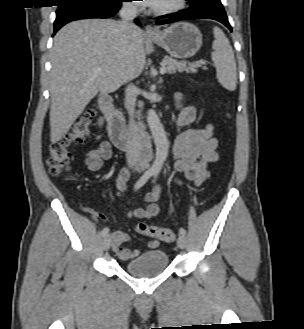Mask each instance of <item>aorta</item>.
I'll return each mask as SVG.
<instances>
[{
	"label": "aorta",
	"mask_w": 304,
	"mask_h": 329,
	"mask_svg": "<svg viewBox=\"0 0 304 329\" xmlns=\"http://www.w3.org/2000/svg\"><path fill=\"white\" fill-rule=\"evenodd\" d=\"M147 122L156 145V156L151 170L160 172L168 155V139L160 119L153 109L149 110L147 113Z\"/></svg>",
	"instance_id": "1"
}]
</instances>
